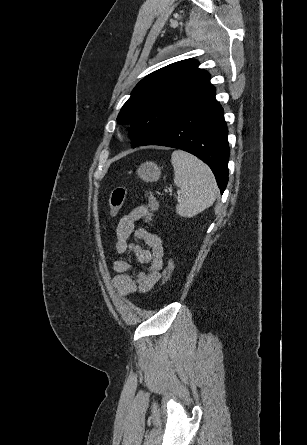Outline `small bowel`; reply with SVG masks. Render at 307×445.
<instances>
[{
	"mask_svg": "<svg viewBox=\"0 0 307 445\" xmlns=\"http://www.w3.org/2000/svg\"><path fill=\"white\" fill-rule=\"evenodd\" d=\"M148 211L141 205L135 207L129 214L123 216L116 228V251L118 254L133 252L139 262L147 264L146 271L140 272L136 277L131 275L132 265L125 259H117L112 262V270L116 273L114 284L118 293L128 296L135 292L145 293L149 291L160 279V271L163 267L164 246L162 239L145 229L135 231V222L144 218ZM142 240L148 247L143 249L139 244L129 241V237Z\"/></svg>",
	"mask_w": 307,
	"mask_h": 445,
	"instance_id": "obj_1",
	"label": "small bowel"
}]
</instances>
